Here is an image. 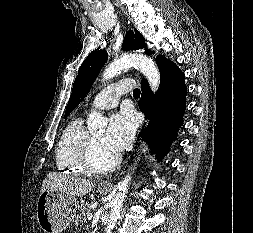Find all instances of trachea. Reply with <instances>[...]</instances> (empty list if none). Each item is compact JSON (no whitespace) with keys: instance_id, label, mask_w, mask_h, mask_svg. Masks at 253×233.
Masks as SVG:
<instances>
[{"instance_id":"obj_1","label":"trachea","mask_w":253,"mask_h":233,"mask_svg":"<svg viewBox=\"0 0 253 233\" xmlns=\"http://www.w3.org/2000/svg\"><path fill=\"white\" fill-rule=\"evenodd\" d=\"M133 96H140V90L139 89H135L133 91Z\"/></svg>"}]
</instances>
